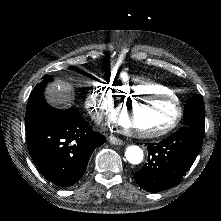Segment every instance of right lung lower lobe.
<instances>
[{
	"mask_svg": "<svg viewBox=\"0 0 221 221\" xmlns=\"http://www.w3.org/2000/svg\"><path fill=\"white\" fill-rule=\"evenodd\" d=\"M25 126L28 151L36 167L60 187L76 183L85 173L92 152L105 142L78 112L44 115Z\"/></svg>",
	"mask_w": 221,
	"mask_h": 221,
	"instance_id": "98d812e1",
	"label": "right lung lower lobe"
}]
</instances>
